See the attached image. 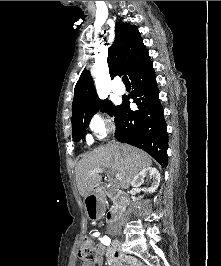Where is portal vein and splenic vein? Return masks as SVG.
Listing matches in <instances>:
<instances>
[{"label": "portal vein and splenic vein", "instance_id": "1", "mask_svg": "<svg viewBox=\"0 0 221 266\" xmlns=\"http://www.w3.org/2000/svg\"><path fill=\"white\" fill-rule=\"evenodd\" d=\"M103 172V168H96V169H93L91 171V174H94V173H102ZM116 179L120 180L121 179V175L120 174H116Z\"/></svg>", "mask_w": 221, "mask_h": 266}]
</instances>
